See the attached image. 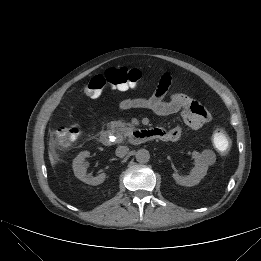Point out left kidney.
<instances>
[{
	"label": "left kidney",
	"mask_w": 261,
	"mask_h": 261,
	"mask_svg": "<svg viewBox=\"0 0 261 261\" xmlns=\"http://www.w3.org/2000/svg\"><path fill=\"white\" fill-rule=\"evenodd\" d=\"M192 158L195 160V167L192 169L190 175L180 176L178 173L172 174L173 179L181 186H195L207 174L208 165L203 161L201 154L193 151Z\"/></svg>",
	"instance_id": "obj_1"
}]
</instances>
